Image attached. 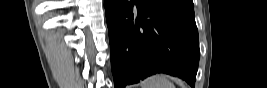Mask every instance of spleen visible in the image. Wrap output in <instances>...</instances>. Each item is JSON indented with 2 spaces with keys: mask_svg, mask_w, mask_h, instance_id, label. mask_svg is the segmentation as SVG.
Masks as SVG:
<instances>
[{
  "mask_svg": "<svg viewBox=\"0 0 267 88\" xmlns=\"http://www.w3.org/2000/svg\"><path fill=\"white\" fill-rule=\"evenodd\" d=\"M140 86L141 88H175V85L165 74L152 75L143 80Z\"/></svg>",
  "mask_w": 267,
  "mask_h": 88,
  "instance_id": "spleen-1",
  "label": "spleen"
}]
</instances>
